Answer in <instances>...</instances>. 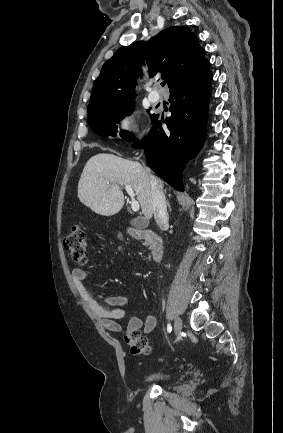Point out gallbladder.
I'll use <instances>...</instances> for the list:
<instances>
[{
  "label": "gallbladder",
  "instance_id": "bac80fb5",
  "mask_svg": "<svg viewBox=\"0 0 283 433\" xmlns=\"http://www.w3.org/2000/svg\"><path fill=\"white\" fill-rule=\"evenodd\" d=\"M131 225L135 229H146L148 223L147 221H143V219H132Z\"/></svg>",
  "mask_w": 283,
  "mask_h": 433
}]
</instances>
